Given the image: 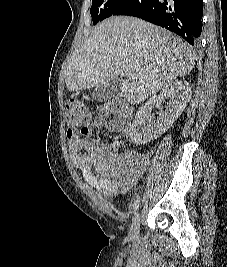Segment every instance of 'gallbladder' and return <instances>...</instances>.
I'll use <instances>...</instances> for the list:
<instances>
[{
	"label": "gallbladder",
	"mask_w": 227,
	"mask_h": 267,
	"mask_svg": "<svg viewBox=\"0 0 227 267\" xmlns=\"http://www.w3.org/2000/svg\"><path fill=\"white\" fill-rule=\"evenodd\" d=\"M119 90V80L114 79L102 86L95 88L92 92V99L103 102L109 100Z\"/></svg>",
	"instance_id": "1"
}]
</instances>
